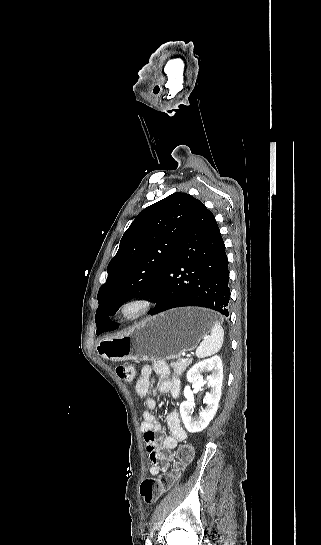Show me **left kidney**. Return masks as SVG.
I'll return each mask as SVG.
<instances>
[{"instance_id":"1","label":"left kidney","mask_w":321,"mask_h":545,"mask_svg":"<svg viewBox=\"0 0 321 545\" xmlns=\"http://www.w3.org/2000/svg\"><path fill=\"white\" fill-rule=\"evenodd\" d=\"M205 371H211L212 373L207 379V385L208 387H211V393H206L203 403H205L207 407L204 411L199 413L198 419H193V417H191L195 407L194 393L191 391V387H185L183 391V395L187 401L181 403L180 415L189 433H200V431L206 429L210 421L214 419L218 409L223 381V367L220 357H212V359H206V361L196 363V365L188 371L187 381H189V383H197L199 379H202V373H205Z\"/></svg>"}]
</instances>
